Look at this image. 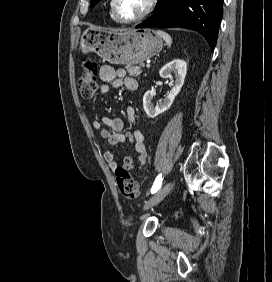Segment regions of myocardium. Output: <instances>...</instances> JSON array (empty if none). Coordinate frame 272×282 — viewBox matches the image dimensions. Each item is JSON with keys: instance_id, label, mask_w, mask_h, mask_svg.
I'll return each mask as SVG.
<instances>
[{"instance_id": "f54148a6", "label": "myocardium", "mask_w": 272, "mask_h": 282, "mask_svg": "<svg viewBox=\"0 0 272 282\" xmlns=\"http://www.w3.org/2000/svg\"><path fill=\"white\" fill-rule=\"evenodd\" d=\"M117 2L118 0H111V10H112L113 16L122 23L131 24V23H137L143 20L144 18H146L149 14H151V12L154 10L156 6L157 0H150L146 10L142 14L134 18L122 17L117 10Z\"/></svg>"}]
</instances>
